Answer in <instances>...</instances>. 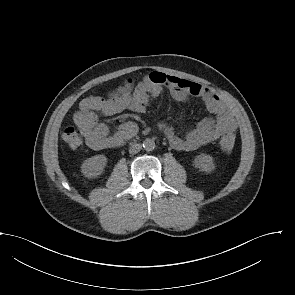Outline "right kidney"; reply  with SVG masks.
<instances>
[{
    "label": "right kidney",
    "instance_id": "1",
    "mask_svg": "<svg viewBox=\"0 0 295 295\" xmlns=\"http://www.w3.org/2000/svg\"><path fill=\"white\" fill-rule=\"evenodd\" d=\"M106 164L107 158L104 155L92 156L82 164L81 172L85 177L95 178L102 174Z\"/></svg>",
    "mask_w": 295,
    "mask_h": 295
}]
</instances>
